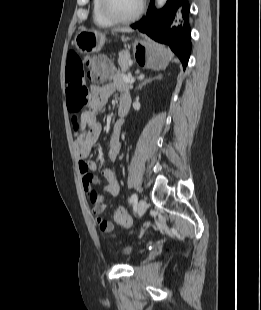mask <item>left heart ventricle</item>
Here are the masks:
<instances>
[{
	"mask_svg": "<svg viewBox=\"0 0 261 310\" xmlns=\"http://www.w3.org/2000/svg\"><path fill=\"white\" fill-rule=\"evenodd\" d=\"M110 10L120 17H129L139 8L141 0H108Z\"/></svg>",
	"mask_w": 261,
	"mask_h": 310,
	"instance_id": "b2bd125f",
	"label": "left heart ventricle"
}]
</instances>
